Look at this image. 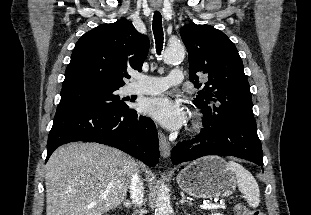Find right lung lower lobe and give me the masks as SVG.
Masks as SVG:
<instances>
[{
  "mask_svg": "<svg viewBox=\"0 0 311 215\" xmlns=\"http://www.w3.org/2000/svg\"><path fill=\"white\" fill-rule=\"evenodd\" d=\"M75 141L97 142L116 147L154 167L159 160L154 122L133 109L104 111L67 107L56 111L48 136L47 158L59 146Z\"/></svg>",
  "mask_w": 311,
  "mask_h": 215,
  "instance_id": "1",
  "label": "right lung lower lobe"
}]
</instances>
